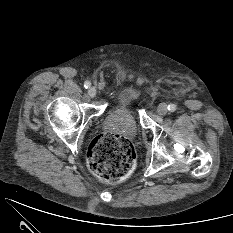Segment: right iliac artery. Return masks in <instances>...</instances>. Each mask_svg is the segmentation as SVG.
<instances>
[{
    "label": "right iliac artery",
    "instance_id": "right-iliac-artery-1",
    "mask_svg": "<svg viewBox=\"0 0 233 233\" xmlns=\"http://www.w3.org/2000/svg\"><path fill=\"white\" fill-rule=\"evenodd\" d=\"M90 86H91V83L89 81L84 82V87L85 88H90Z\"/></svg>",
    "mask_w": 233,
    "mask_h": 233
}]
</instances>
